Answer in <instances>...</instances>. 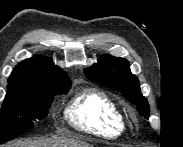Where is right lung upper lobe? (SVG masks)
<instances>
[{
	"label": "right lung upper lobe",
	"instance_id": "1",
	"mask_svg": "<svg viewBox=\"0 0 183 147\" xmlns=\"http://www.w3.org/2000/svg\"><path fill=\"white\" fill-rule=\"evenodd\" d=\"M61 68L47 58L37 56L19 63L8 79V88L41 86L59 88L70 84Z\"/></svg>",
	"mask_w": 183,
	"mask_h": 147
}]
</instances>
